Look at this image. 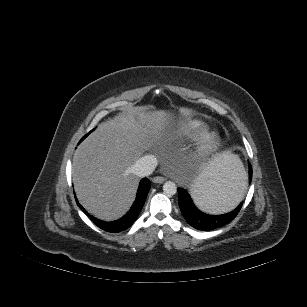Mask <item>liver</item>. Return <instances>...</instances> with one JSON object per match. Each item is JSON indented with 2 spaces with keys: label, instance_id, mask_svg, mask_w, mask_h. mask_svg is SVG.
<instances>
[{
  "label": "liver",
  "instance_id": "liver-1",
  "mask_svg": "<svg viewBox=\"0 0 307 307\" xmlns=\"http://www.w3.org/2000/svg\"><path fill=\"white\" fill-rule=\"evenodd\" d=\"M183 113L188 116L191 110ZM174 117L166 110L126 108L101 123L79 145L73 159V183L89 213L112 221L128 211L139 183L132 167L145 151L166 141Z\"/></svg>",
  "mask_w": 307,
  "mask_h": 307
}]
</instances>
